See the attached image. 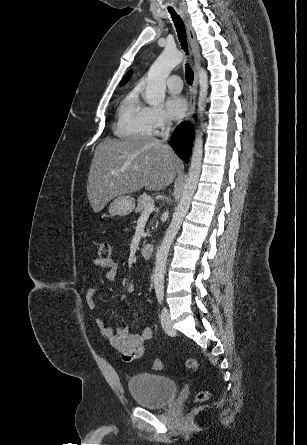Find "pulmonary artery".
Listing matches in <instances>:
<instances>
[{
	"label": "pulmonary artery",
	"mask_w": 307,
	"mask_h": 445,
	"mask_svg": "<svg viewBox=\"0 0 307 445\" xmlns=\"http://www.w3.org/2000/svg\"><path fill=\"white\" fill-rule=\"evenodd\" d=\"M182 76L179 72L174 71L168 82H167V86L169 88V90L173 93H178L183 89V82L182 81H174V80H181Z\"/></svg>",
	"instance_id": "obj_1"
}]
</instances>
